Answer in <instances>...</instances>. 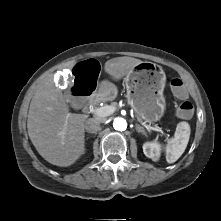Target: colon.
Returning a JSON list of instances; mask_svg holds the SVG:
<instances>
[{"label":"colon","mask_w":221,"mask_h":221,"mask_svg":"<svg viewBox=\"0 0 221 221\" xmlns=\"http://www.w3.org/2000/svg\"><path fill=\"white\" fill-rule=\"evenodd\" d=\"M101 66L95 60H86L79 63L73 71V84L68 88V97L70 105L74 109H83L88 102L94 97L93 88L99 81L101 75ZM173 94L180 98L186 99L187 89L180 78H173L170 82ZM193 105L184 100L177 109L179 117L188 119L193 115Z\"/></svg>","instance_id":"colon-1"}]
</instances>
